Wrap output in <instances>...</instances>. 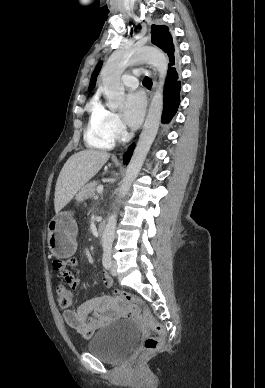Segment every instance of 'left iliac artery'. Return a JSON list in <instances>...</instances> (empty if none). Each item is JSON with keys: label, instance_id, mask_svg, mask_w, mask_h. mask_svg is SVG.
<instances>
[{"label": "left iliac artery", "instance_id": "1", "mask_svg": "<svg viewBox=\"0 0 265 388\" xmlns=\"http://www.w3.org/2000/svg\"><path fill=\"white\" fill-rule=\"evenodd\" d=\"M111 250H112L111 245H109V244L103 245L102 263L106 269H109L111 266Z\"/></svg>", "mask_w": 265, "mask_h": 388}]
</instances>
